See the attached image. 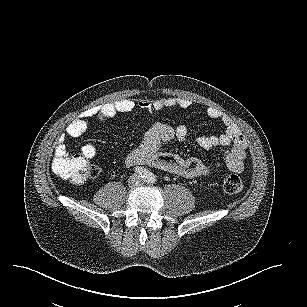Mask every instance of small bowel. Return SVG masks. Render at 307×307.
Wrapping results in <instances>:
<instances>
[{
  "instance_id": "1",
  "label": "small bowel",
  "mask_w": 307,
  "mask_h": 307,
  "mask_svg": "<svg viewBox=\"0 0 307 307\" xmlns=\"http://www.w3.org/2000/svg\"><path fill=\"white\" fill-rule=\"evenodd\" d=\"M190 106L191 101L186 98L164 97L153 101H141L138 104L133 100L124 99L92 107L82 112L72 121L60 136L55 149V160L69 155L66 141L84 134L93 118L106 121L120 113L131 112L136 107L147 112H155L166 108H188ZM206 114L210 119L219 120L224 127V131L218 136H200L196 140L197 144L204 150H210L218 146L227 147L228 150L224 157L227 167L234 172H241L248 147L244 134L230 116L220 110L208 107ZM187 135V128L183 125L173 128L165 124H156L146 133L140 144L131 151L126 159V164L128 166L147 164L186 178L211 175L217 164L204 163L198 158L184 159L160 151V147L164 143L173 140L184 141ZM96 152V147L93 144H86L82 147V153L87 159L94 158Z\"/></svg>"
}]
</instances>
